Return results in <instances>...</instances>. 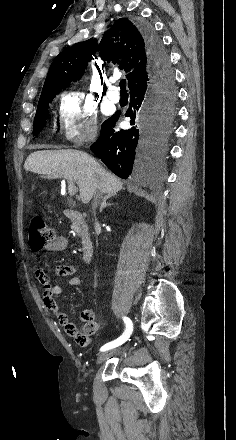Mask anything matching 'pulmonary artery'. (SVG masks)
Segmentation results:
<instances>
[{"label":"pulmonary artery","mask_w":236,"mask_h":440,"mask_svg":"<svg viewBox=\"0 0 236 440\" xmlns=\"http://www.w3.org/2000/svg\"><path fill=\"white\" fill-rule=\"evenodd\" d=\"M107 97L114 103H117L120 100V94L115 87H112L107 91Z\"/></svg>","instance_id":"1"}]
</instances>
